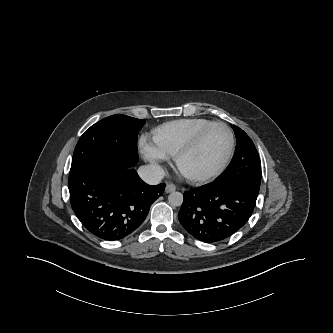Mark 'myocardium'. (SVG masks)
Masks as SVG:
<instances>
[{"label":"myocardium","mask_w":333,"mask_h":333,"mask_svg":"<svg viewBox=\"0 0 333 333\" xmlns=\"http://www.w3.org/2000/svg\"><path fill=\"white\" fill-rule=\"evenodd\" d=\"M215 127H222L223 129H225V131L227 132V134L229 136V149H228V153H227L225 159L223 160L221 165L216 170H214L213 172L208 173V174L199 175V174H191V173L185 172L181 168V161L183 160V158H185L187 155H189L191 152H193L198 147V145L200 144L202 139L205 137V135L211 129H213ZM234 151H235V137H234V133L231 130V128L223 122H213L212 124L204 127L202 130H200L189 141L188 144H186L183 148H181L174 155L173 161H174V165H175L176 169L187 180L192 181V182H196V183H207V182H210V181L216 179L218 176H220L226 170V168L228 167L229 163L232 160V157L234 155Z\"/></svg>","instance_id":"f54148a6"}]
</instances>
